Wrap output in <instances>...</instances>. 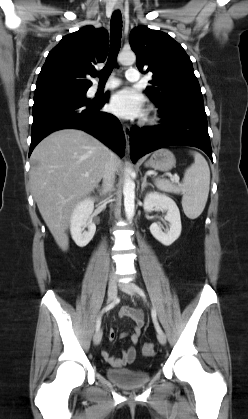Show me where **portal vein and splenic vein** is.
I'll use <instances>...</instances> for the list:
<instances>
[{"label": "portal vein and splenic vein", "instance_id": "1", "mask_svg": "<svg viewBox=\"0 0 248 419\" xmlns=\"http://www.w3.org/2000/svg\"><path fill=\"white\" fill-rule=\"evenodd\" d=\"M171 180H172L173 182H179V176L174 175V176H172V177H171Z\"/></svg>", "mask_w": 248, "mask_h": 419}]
</instances>
